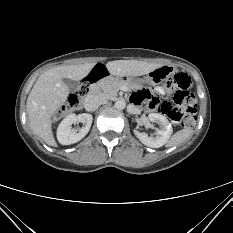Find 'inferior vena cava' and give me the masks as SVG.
Segmentation results:
<instances>
[{
  "instance_id": "1",
  "label": "inferior vena cava",
  "mask_w": 233,
  "mask_h": 233,
  "mask_svg": "<svg viewBox=\"0 0 233 233\" xmlns=\"http://www.w3.org/2000/svg\"><path fill=\"white\" fill-rule=\"evenodd\" d=\"M106 102V98L101 94H89L84 100L87 110L94 111Z\"/></svg>"
}]
</instances>
